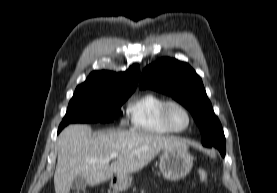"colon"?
I'll list each match as a JSON object with an SVG mask.
<instances>
[{
    "label": "colon",
    "instance_id": "obj_1",
    "mask_svg": "<svg viewBox=\"0 0 277 193\" xmlns=\"http://www.w3.org/2000/svg\"><path fill=\"white\" fill-rule=\"evenodd\" d=\"M198 177L202 182H206L208 180V173L204 169L198 170Z\"/></svg>",
    "mask_w": 277,
    "mask_h": 193
}]
</instances>
